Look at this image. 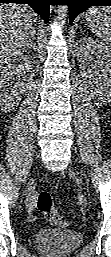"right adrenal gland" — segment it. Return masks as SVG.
Wrapping results in <instances>:
<instances>
[{
    "mask_svg": "<svg viewBox=\"0 0 111 257\" xmlns=\"http://www.w3.org/2000/svg\"><path fill=\"white\" fill-rule=\"evenodd\" d=\"M31 48L36 49L35 36L32 37L30 43L28 44L25 52L27 53Z\"/></svg>",
    "mask_w": 111,
    "mask_h": 257,
    "instance_id": "obj_1",
    "label": "right adrenal gland"
}]
</instances>
